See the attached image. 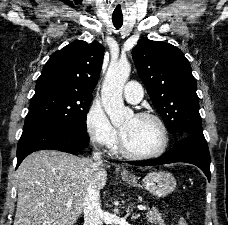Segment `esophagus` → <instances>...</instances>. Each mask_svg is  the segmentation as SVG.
Returning a JSON list of instances; mask_svg holds the SVG:
<instances>
[{
	"label": "esophagus",
	"instance_id": "esophagus-1",
	"mask_svg": "<svg viewBox=\"0 0 228 225\" xmlns=\"http://www.w3.org/2000/svg\"><path fill=\"white\" fill-rule=\"evenodd\" d=\"M128 174V171L124 168L121 170V175L126 176Z\"/></svg>",
	"mask_w": 228,
	"mask_h": 225
}]
</instances>
